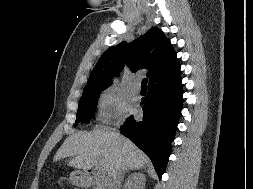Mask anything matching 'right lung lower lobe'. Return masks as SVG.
Masks as SVG:
<instances>
[{
  "instance_id": "98d812e1",
  "label": "right lung lower lobe",
  "mask_w": 253,
  "mask_h": 189,
  "mask_svg": "<svg viewBox=\"0 0 253 189\" xmlns=\"http://www.w3.org/2000/svg\"><path fill=\"white\" fill-rule=\"evenodd\" d=\"M180 73L149 85L148 95L141 100L143 120L130 116L120 128L151 159L161 178L171 154V141L182 110Z\"/></svg>"
}]
</instances>
